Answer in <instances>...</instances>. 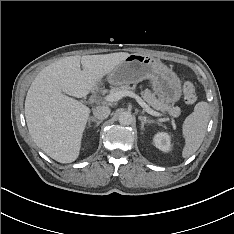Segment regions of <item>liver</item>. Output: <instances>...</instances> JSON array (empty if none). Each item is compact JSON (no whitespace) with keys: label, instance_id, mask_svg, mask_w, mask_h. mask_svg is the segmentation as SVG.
I'll return each mask as SVG.
<instances>
[{"label":"liver","instance_id":"liver-1","mask_svg":"<svg viewBox=\"0 0 234 234\" xmlns=\"http://www.w3.org/2000/svg\"><path fill=\"white\" fill-rule=\"evenodd\" d=\"M129 55L65 57L36 76L27 92L25 118L31 138L44 153L60 163L79 157L90 109L69 96L85 98L94 92L102 78Z\"/></svg>","mask_w":234,"mask_h":234}]
</instances>
